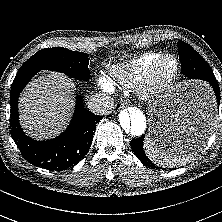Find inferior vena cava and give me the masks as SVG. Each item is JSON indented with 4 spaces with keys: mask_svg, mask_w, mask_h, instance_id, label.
Here are the masks:
<instances>
[{
    "mask_svg": "<svg viewBox=\"0 0 222 222\" xmlns=\"http://www.w3.org/2000/svg\"><path fill=\"white\" fill-rule=\"evenodd\" d=\"M113 105V99L102 93L93 95L88 101L90 111L98 115L109 114L112 111Z\"/></svg>",
    "mask_w": 222,
    "mask_h": 222,
    "instance_id": "obj_1",
    "label": "inferior vena cava"
}]
</instances>
